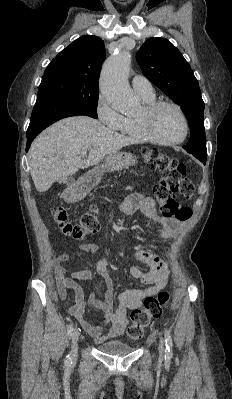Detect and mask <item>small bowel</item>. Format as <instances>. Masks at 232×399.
<instances>
[{"label": "small bowel", "instance_id": "1", "mask_svg": "<svg viewBox=\"0 0 232 399\" xmlns=\"http://www.w3.org/2000/svg\"><path fill=\"white\" fill-rule=\"evenodd\" d=\"M126 210H141L145 215L154 217L156 215L157 202L154 198H146L141 193H131L124 201ZM177 229L171 226L163 228V238H175ZM151 249H158V245L150 243ZM83 249L90 254V260L95 263L96 270L104 285L103 298L91 297L85 299L79 285L73 280V276H86L84 271L73 272L68 276L61 261L64 256L53 263V274L60 297L64 301H71L68 313L78 320L79 328L93 336L94 344L101 345L107 342L114 343L116 337L128 326L129 309L140 308L146 298L157 295L168 283L169 265L161 261L153 254L135 248L126 254L128 259H136L147 263L152 271L142 272L138 267L130 268L132 280L139 284H150L148 287L133 291L122 292L118 295V309L115 314L111 312V304L114 299L115 284L112 274L106 264L107 251L97 249L92 243L83 244ZM71 292V293H70ZM95 308L101 313L100 322L92 326L85 318V310Z\"/></svg>", "mask_w": 232, "mask_h": 399}]
</instances>
